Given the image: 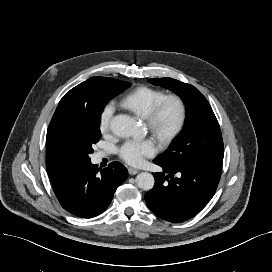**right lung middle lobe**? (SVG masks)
<instances>
[{
	"instance_id": "right-lung-middle-lobe-1",
	"label": "right lung middle lobe",
	"mask_w": 272,
	"mask_h": 272,
	"mask_svg": "<svg viewBox=\"0 0 272 272\" xmlns=\"http://www.w3.org/2000/svg\"><path fill=\"white\" fill-rule=\"evenodd\" d=\"M128 86L129 82L111 78L96 98L91 114L62 130L61 144L74 163L90 161L89 154L94 151L92 146L101 138L99 123L104 106Z\"/></svg>"
}]
</instances>
